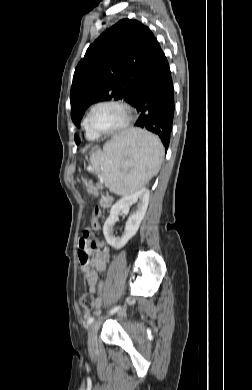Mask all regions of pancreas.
<instances>
[{
  "label": "pancreas",
  "mask_w": 252,
  "mask_h": 390,
  "mask_svg": "<svg viewBox=\"0 0 252 390\" xmlns=\"http://www.w3.org/2000/svg\"><path fill=\"white\" fill-rule=\"evenodd\" d=\"M111 203L112 202H106L105 197H102V199L100 200V205L103 208H109L111 206Z\"/></svg>",
  "instance_id": "1"
}]
</instances>
